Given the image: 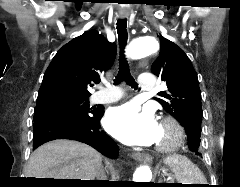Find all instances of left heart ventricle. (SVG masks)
<instances>
[{"mask_svg": "<svg viewBox=\"0 0 240 187\" xmlns=\"http://www.w3.org/2000/svg\"><path fill=\"white\" fill-rule=\"evenodd\" d=\"M169 133L167 130H164L163 128H160V133H159V138H158V141L156 142L157 144L158 143H161L163 141H165L168 137Z\"/></svg>", "mask_w": 240, "mask_h": 187, "instance_id": "b2bd125f", "label": "left heart ventricle"}]
</instances>
